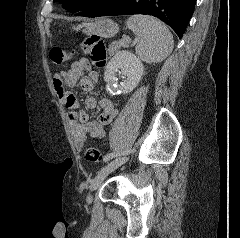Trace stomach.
<instances>
[{
    "label": "stomach",
    "instance_id": "0dacf381",
    "mask_svg": "<svg viewBox=\"0 0 240 238\" xmlns=\"http://www.w3.org/2000/svg\"><path fill=\"white\" fill-rule=\"evenodd\" d=\"M81 28L87 35L95 34L104 38H111L119 31L118 24L111 19H99L93 23H85Z\"/></svg>",
    "mask_w": 240,
    "mask_h": 238
}]
</instances>
